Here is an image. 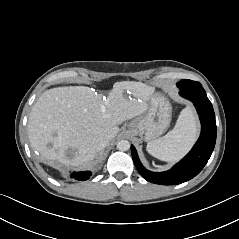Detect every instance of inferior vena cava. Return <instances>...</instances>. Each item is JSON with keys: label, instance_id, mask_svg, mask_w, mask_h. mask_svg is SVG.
Masks as SVG:
<instances>
[{"label": "inferior vena cava", "instance_id": "obj_1", "mask_svg": "<svg viewBox=\"0 0 239 239\" xmlns=\"http://www.w3.org/2000/svg\"><path fill=\"white\" fill-rule=\"evenodd\" d=\"M109 144V140L107 138H103L99 141L98 144V149L102 150L103 148H105L107 145Z\"/></svg>", "mask_w": 239, "mask_h": 239}]
</instances>
